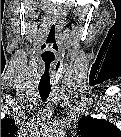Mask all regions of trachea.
I'll use <instances>...</instances> for the list:
<instances>
[{
    "label": "trachea",
    "instance_id": "trachea-1",
    "mask_svg": "<svg viewBox=\"0 0 121 137\" xmlns=\"http://www.w3.org/2000/svg\"><path fill=\"white\" fill-rule=\"evenodd\" d=\"M59 31V17L55 12L52 16L51 22L48 27V34L46 40L47 52H45L43 61L40 66V81H39V94L44 101L48 98L51 91V75L54 66L55 55L53 53L56 47L57 35Z\"/></svg>",
    "mask_w": 121,
    "mask_h": 137
}]
</instances>
